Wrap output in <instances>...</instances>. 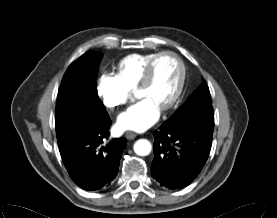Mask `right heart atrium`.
<instances>
[{
	"label": "right heart atrium",
	"mask_w": 277,
	"mask_h": 218,
	"mask_svg": "<svg viewBox=\"0 0 277 218\" xmlns=\"http://www.w3.org/2000/svg\"><path fill=\"white\" fill-rule=\"evenodd\" d=\"M97 92L108 108L124 105L132 94V89L115 73L104 71L97 83Z\"/></svg>",
	"instance_id": "d8ad5b80"
}]
</instances>
